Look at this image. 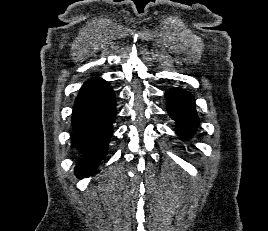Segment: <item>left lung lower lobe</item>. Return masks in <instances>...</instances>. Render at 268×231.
Returning a JSON list of instances; mask_svg holds the SVG:
<instances>
[{
	"mask_svg": "<svg viewBox=\"0 0 268 231\" xmlns=\"http://www.w3.org/2000/svg\"><path fill=\"white\" fill-rule=\"evenodd\" d=\"M168 114L177 123L178 134L183 140L195 134L199 118L193 96L183 89H172L165 93Z\"/></svg>",
	"mask_w": 268,
	"mask_h": 231,
	"instance_id": "0a47b994",
	"label": "left lung lower lobe"
}]
</instances>
